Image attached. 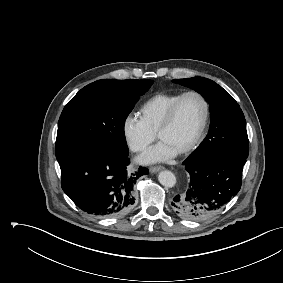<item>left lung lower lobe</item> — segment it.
Masks as SVG:
<instances>
[{"label": "left lung lower lobe", "instance_id": "0a47b994", "mask_svg": "<svg viewBox=\"0 0 283 283\" xmlns=\"http://www.w3.org/2000/svg\"><path fill=\"white\" fill-rule=\"evenodd\" d=\"M246 158L216 154L183 165L190 174L186 193L176 195L173 211L186 220H205L215 215L241 188Z\"/></svg>", "mask_w": 283, "mask_h": 283}]
</instances>
